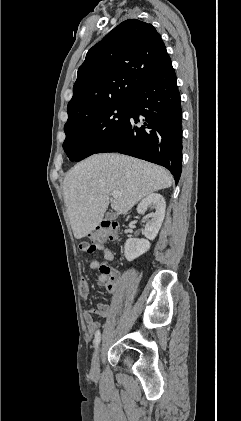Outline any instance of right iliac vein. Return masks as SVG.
<instances>
[{"instance_id":"right-iliac-vein-1","label":"right iliac vein","mask_w":241,"mask_h":421,"mask_svg":"<svg viewBox=\"0 0 241 421\" xmlns=\"http://www.w3.org/2000/svg\"><path fill=\"white\" fill-rule=\"evenodd\" d=\"M99 357H100V348H97L94 353L92 364H91V372L93 374H96L99 370Z\"/></svg>"}]
</instances>
